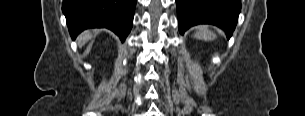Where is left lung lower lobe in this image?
Masks as SVG:
<instances>
[{"label":"left lung lower lobe","instance_id":"1","mask_svg":"<svg viewBox=\"0 0 305 116\" xmlns=\"http://www.w3.org/2000/svg\"><path fill=\"white\" fill-rule=\"evenodd\" d=\"M179 31L197 24L220 27L229 38L238 21L240 0H176Z\"/></svg>","mask_w":305,"mask_h":116}]
</instances>
